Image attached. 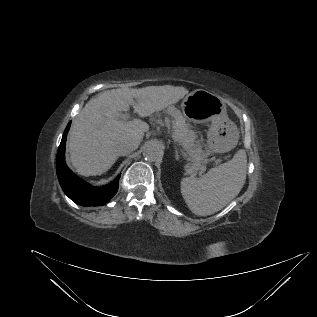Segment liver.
I'll use <instances>...</instances> for the list:
<instances>
[{
	"mask_svg": "<svg viewBox=\"0 0 317 317\" xmlns=\"http://www.w3.org/2000/svg\"><path fill=\"white\" fill-rule=\"evenodd\" d=\"M188 90L181 86H148L105 91L87 102L75 118L68 137L70 160L83 176L101 175L116 162L122 142H140L149 126L140 119L125 121L120 113L130 105L140 117L177 103Z\"/></svg>",
	"mask_w": 317,
	"mask_h": 317,
	"instance_id": "liver-1",
	"label": "liver"
}]
</instances>
